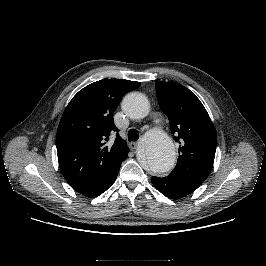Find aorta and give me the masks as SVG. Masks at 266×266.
Here are the masks:
<instances>
[{"mask_svg":"<svg viewBox=\"0 0 266 266\" xmlns=\"http://www.w3.org/2000/svg\"><path fill=\"white\" fill-rule=\"evenodd\" d=\"M123 111L132 119H142L149 113L150 105L145 95L130 93L122 102ZM139 160L155 174L169 172L175 165L176 153L170 136L162 130H153L145 137Z\"/></svg>","mask_w":266,"mask_h":266,"instance_id":"1","label":"aorta"}]
</instances>
